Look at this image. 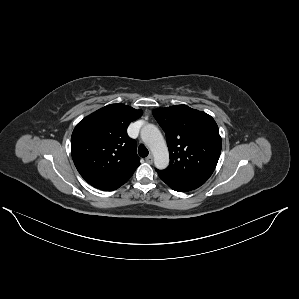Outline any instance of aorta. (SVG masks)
<instances>
[{"instance_id": "762f6f07", "label": "aorta", "mask_w": 299, "mask_h": 299, "mask_svg": "<svg viewBox=\"0 0 299 299\" xmlns=\"http://www.w3.org/2000/svg\"><path fill=\"white\" fill-rule=\"evenodd\" d=\"M141 138L153 153L155 167L165 169L169 164V153L160 130L153 124H147L141 130Z\"/></svg>"}]
</instances>
